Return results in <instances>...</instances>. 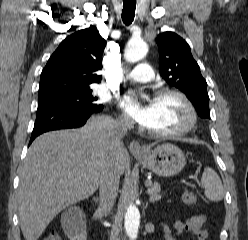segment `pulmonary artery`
I'll use <instances>...</instances> for the list:
<instances>
[{
  "label": "pulmonary artery",
  "mask_w": 248,
  "mask_h": 240,
  "mask_svg": "<svg viewBox=\"0 0 248 240\" xmlns=\"http://www.w3.org/2000/svg\"><path fill=\"white\" fill-rule=\"evenodd\" d=\"M124 78L135 82H149L153 78V72L147 63H140L133 70L126 73Z\"/></svg>",
  "instance_id": "1"
}]
</instances>
